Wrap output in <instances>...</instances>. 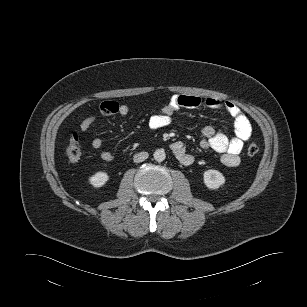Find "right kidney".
Masks as SVG:
<instances>
[{
	"label": "right kidney",
	"mask_w": 307,
	"mask_h": 307,
	"mask_svg": "<svg viewBox=\"0 0 307 307\" xmlns=\"http://www.w3.org/2000/svg\"><path fill=\"white\" fill-rule=\"evenodd\" d=\"M109 180V176L106 172H97L89 178V183L98 188L102 187Z\"/></svg>",
	"instance_id": "ca27d5eb"
}]
</instances>
